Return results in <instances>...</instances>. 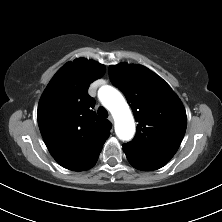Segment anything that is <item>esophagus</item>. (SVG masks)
Instances as JSON below:
<instances>
[{
	"instance_id": "obj_1",
	"label": "esophagus",
	"mask_w": 222,
	"mask_h": 222,
	"mask_svg": "<svg viewBox=\"0 0 222 222\" xmlns=\"http://www.w3.org/2000/svg\"><path fill=\"white\" fill-rule=\"evenodd\" d=\"M108 120H109L111 123H113V117H112V116H109V117H108Z\"/></svg>"
}]
</instances>
